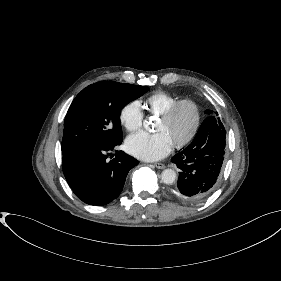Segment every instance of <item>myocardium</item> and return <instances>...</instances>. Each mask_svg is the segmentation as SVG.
<instances>
[{
  "mask_svg": "<svg viewBox=\"0 0 281 281\" xmlns=\"http://www.w3.org/2000/svg\"><path fill=\"white\" fill-rule=\"evenodd\" d=\"M183 106H189L192 109L194 114V122H193L192 129L190 130L188 135L173 144V146L177 149L183 148L188 144H190L194 140V138L196 137L199 131L201 125V109L199 104L194 99H190V98L180 99L158 115L159 119L165 121L169 120Z\"/></svg>",
  "mask_w": 281,
  "mask_h": 281,
  "instance_id": "f54148a6",
  "label": "myocardium"
}]
</instances>
